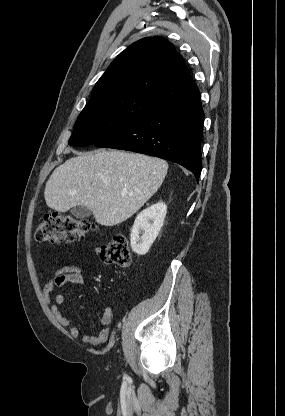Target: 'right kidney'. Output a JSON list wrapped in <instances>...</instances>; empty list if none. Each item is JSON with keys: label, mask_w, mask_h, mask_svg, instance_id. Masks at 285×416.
<instances>
[{"label": "right kidney", "mask_w": 285, "mask_h": 416, "mask_svg": "<svg viewBox=\"0 0 285 416\" xmlns=\"http://www.w3.org/2000/svg\"><path fill=\"white\" fill-rule=\"evenodd\" d=\"M165 202L152 204L138 214L130 234V244L133 252L145 256L155 242L166 216Z\"/></svg>", "instance_id": "right-kidney-1"}]
</instances>
